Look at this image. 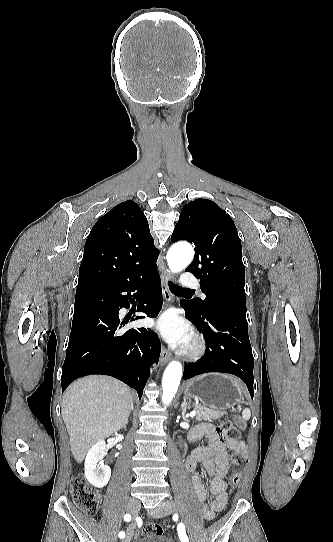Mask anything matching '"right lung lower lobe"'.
<instances>
[{"label": "right lung lower lobe", "instance_id": "1", "mask_svg": "<svg viewBox=\"0 0 333 542\" xmlns=\"http://www.w3.org/2000/svg\"><path fill=\"white\" fill-rule=\"evenodd\" d=\"M158 258V257H157ZM156 257L131 254L133 276L119 285L77 286L72 330L62 367V392L77 378L103 374L113 376L137 390L141 398L149 367L157 363L161 350L158 335L149 328L128 329L127 323L145 316L120 319L119 310L139 300L137 312L157 317L162 290ZM116 254L107 249L84 250L80 267L101 268L116 264Z\"/></svg>", "mask_w": 333, "mask_h": 542}]
</instances>
